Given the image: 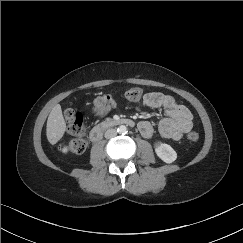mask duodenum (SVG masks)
<instances>
[{
	"instance_id": "410a0bca",
	"label": "duodenum",
	"mask_w": 243,
	"mask_h": 243,
	"mask_svg": "<svg viewBox=\"0 0 243 243\" xmlns=\"http://www.w3.org/2000/svg\"><path fill=\"white\" fill-rule=\"evenodd\" d=\"M120 125L134 127L135 123L133 120L128 118H116V119L105 120L100 124H98L97 126H95L94 128H92L89 134L90 140L92 142H97L101 139L104 131L107 128L112 126H120Z\"/></svg>"
}]
</instances>
